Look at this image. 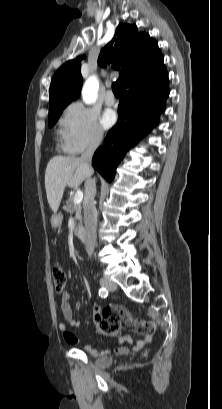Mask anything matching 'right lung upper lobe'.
Returning <instances> with one entry per match:
<instances>
[{
    "label": "right lung upper lobe",
    "mask_w": 222,
    "mask_h": 409,
    "mask_svg": "<svg viewBox=\"0 0 222 409\" xmlns=\"http://www.w3.org/2000/svg\"><path fill=\"white\" fill-rule=\"evenodd\" d=\"M83 56L65 63L55 73L50 85V111L66 107L75 100L82 87L81 60ZM98 63L120 72L121 91L134 79L165 68L157 42L149 34L138 32L135 24L120 23L114 38L102 49Z\"/></svg>",
    "instance_id": "obj_1"
}]
</instances>
